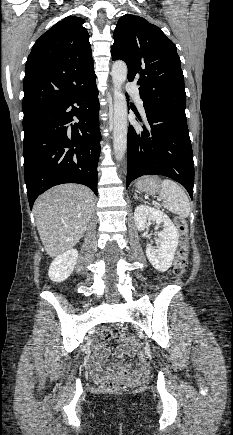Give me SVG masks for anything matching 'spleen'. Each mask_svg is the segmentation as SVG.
<instances>
[{"label": "spleen", "instance_id": "1", "mask_svg": "<svg viewBox=\"0 0 233 435\" xmlns=\"http://www.w3.org/2000/svg\"><path fill=\"white\" fill-rule=\"evenodd\" d=\"M160 197L166 201L164 207L186 218L190 214V202L184 190L172 180H163Z\"/></svg>", "mask_w": 233, "mask_h": 435}]
</instances>
